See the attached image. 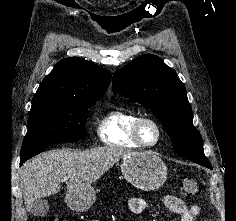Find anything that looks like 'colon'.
I'll return each instance as SVG.
<instances>
[{"label":"colon","instance_id":"colon-1","mask_svg":"<svg viewBox=\"0 0 236 221\" xmlns=\"http://www.w3.org/2000/svg\"><path fill=\"white\" fill-rule=\"evenodd\" d=\"M180 189L184 197H193L199 194L200 187L195 179L190 176H182L180 178ZM49 221H66L62 218L53 217Z\"/></svg>","mask_w":236,"mask_h":221}]
</instances>
